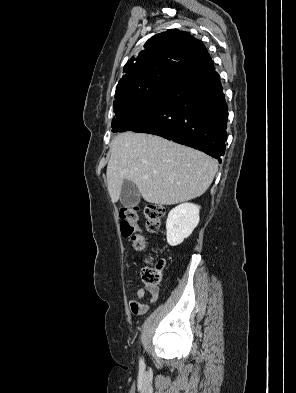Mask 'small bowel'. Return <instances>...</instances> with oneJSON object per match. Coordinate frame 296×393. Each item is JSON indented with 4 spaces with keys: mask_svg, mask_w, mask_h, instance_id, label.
I'll return each instance as SVG.
<instances>
[{
    "mask_svg": "<svg viewBox=\"0 0 296 393\" xmlns=\"http://www.w3.org/2000/svg\"><path fill=\"white\" fill-rule=\"evenodd\" d=\"M151 293L152 298L149 301H144V297L146 294L145 289L141 287L137 290V299H131L129 301V308L133 314L142 315L148 311L150 304L156 300L159 294V290Z\"/></svg>",
    "mask_w": 296,
    "mask_h": 393,
    "instance_id": "c3829d8e",
    "label": "small bowel"
}]
</instances>
